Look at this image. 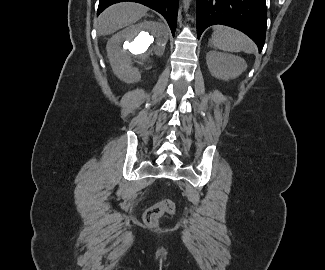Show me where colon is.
Returning <instances> with one entry per match:
<instances>
[{
	"mask_svg": "<svg viewBox=\"0 0 325 270\" xmlns=\"http://www.w3.org/2000/svg\"><path fill=\"white\" fill-rule=\"evenodd\" d=\"M175 203L170 199H162L149 207L144 213V222L148 226H156L159 219L165 214L175 212Z\"/></svg>",
	"mask_w": 325,
	"mask_h": 270,
	"instance_id": "5ec220e1",
	"label": "colon"
}]
</instances>
